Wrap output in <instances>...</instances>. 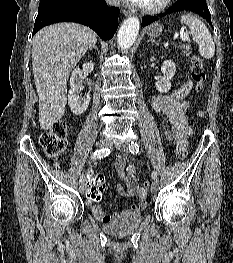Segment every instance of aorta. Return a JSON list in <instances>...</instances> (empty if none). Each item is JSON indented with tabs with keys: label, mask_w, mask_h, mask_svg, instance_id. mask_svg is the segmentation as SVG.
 <instances>
[{
	"label": "aorta",
	"mask_w": 233,
	"mask_h": 263,
	"mask_svg": "<svg viewBox=\"0 0 233 263\" xmlns=\"http://www.w3.org/2000/svg\"><path fill=\"white\" fill-rule=\"evenodd\" d=\"M140 21L137 17H128L118 31V45L121 49L130 48L139 33Z\"/></svg>",
	"instance_id": "1"
}]
</instances>
